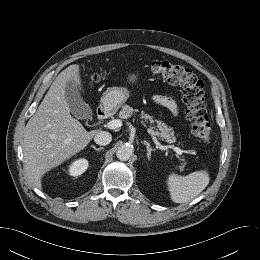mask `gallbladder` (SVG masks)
Segmentation results:
<instances>
[{"label": "gallbladder", "instance_id": "1", "mask_svg": "<svg viewBox=\"0 0 260 260\" xmlns=\"http://www.w3.org/2000/svg\"><path fill=\"white\" fill-rule=\"evenodd\" d=\"M65 97L71 113L78 119H90L93 115L90 106L81 98L77 85L68 81L65 87Z\"/></svg>", "mask_w": 260, "mask_h": 260}]
</instances>
